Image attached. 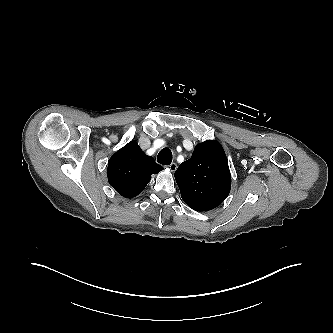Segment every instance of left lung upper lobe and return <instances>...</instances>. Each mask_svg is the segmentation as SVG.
Returning <instances> with one entry per match:
<instances>
[{
    "mask_svg": "<svg viewBox=\"0 0 333 333\" xmlns=\"http://www.w3.org/2000/svg\"><path fill=\"white\" fill-rule=\"evenodd\" d=\"M183 201L193 210L209 211L228 196L231 176L226 154L217 141L194 148L192 157L174 173Z\"/></svg>",
    "mask_w": 333,
    "mask_h": 333,
    "instance_id": "5c2ea615",
    "label": "left lung upper lobe"
}]
</instances>
